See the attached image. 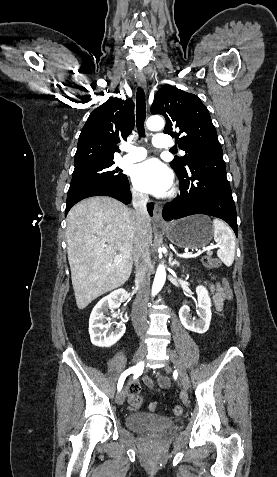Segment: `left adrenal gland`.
I'll return each instance as SVG.
<instances>
[{"label": "left adrenal gland", "instance_id": "obj_1", "mask_svg": "<svg viewBox=\"0 0 277 477\" xmlns=\"http://www.w3.org/2000/svg\"><path fill=\"white\" fill-rule=\"evenodd\" d=\"M169 265H170L171 267H173V266H175V265H176L177 267L180 266L179 261L173 260L172 254H170V256H169Z\"/></svg>", "mask_w": 277, "mask_h": 477}]
</instances>
